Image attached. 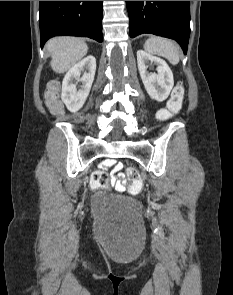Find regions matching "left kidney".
Segmentation results:
<instances>
[{
	"mask_svg": "<svg viewBox=\"0 0 233 295\" xmlns=\"http://www.w3.org/2000/svg\"><path fill=\"white\" fill-rule=\"evenodd\" d=\"M148 61L157 65V73L147 71L146 63ZM137 63L142 82L149 96L158 102L164 101L174 85L173 73L168 64L163 59L144 50L137 51Z\"/></svg>",
	"mask_w": 233,
	"mask_h": 295,
	"instance_id": "left-kidney-1",
	"label": "left kidney"
}]
</instances>
